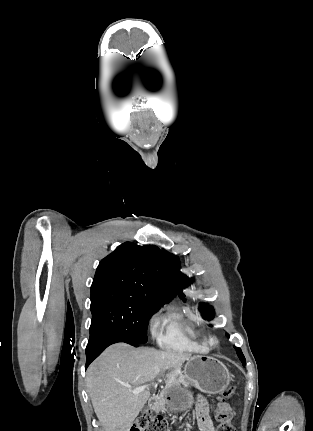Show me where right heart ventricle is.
<instances>
[{
    "mask_svg": "<svg viewBox=\"0 0 313 431\" xmlns=\"http://www.w3.org/2000/svg\"><path fill=\"white\" fill-rule=\"evenodd\" d=\"M182 318L183 314L177 310L169 312L163 318L162 329L157 335L160 344L180 351H207L209 347L205 340H193L186 334L181 324Z\"/></svg>",
    "mask_w": 313,
    "mask_h": 431,
    "instance_id": "right-heart-ventricle-1",
    "label": "right heart ventricle"
}]
</instances>
